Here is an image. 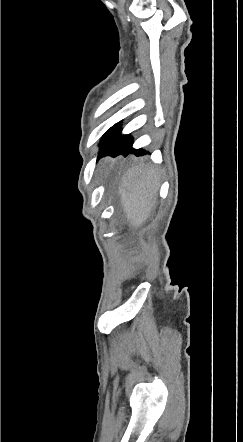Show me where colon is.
<instances>
[{"label": "colon", "mask_w": 243, "mask_h": 442, "mask_svg": "<svg viewBox=\"0 0 243 442\" xmlns=\"http://www.w3.org/2000/svg\"><path fill=\"white\" fill-rule=\"evenodd\" d=\"M146 260H148V257H146L145 255L128 256V261L130 262V264H138V262H145Z\"/></svg>", "instance_id": "1"}]
</instances>
